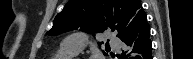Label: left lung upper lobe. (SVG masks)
Returning <instances> with one entry per match:
<instances>
[{"instance_id":"obj_1","label":"left lung upper lobe","mask_w":193,"mask_h":59,"mask_svg":"<svg viewBox=\"0 0 193 59\" xmlns=\"http://www.w3.org/2000/svg\"><path fill=\"white\" fill-rule=\"evenodd\" d=\"M141 7L139 0H69L46 34L54 36L78 28L94 34L110 28L120 38L133 18L144 11Z\"/></svg>"}]
</instances>
